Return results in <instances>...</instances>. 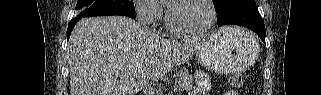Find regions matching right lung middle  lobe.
Masks as SVG:
<instances>
[{
	"instance_id": "obj_1",
	"label": "right lung middle lobe",
	"mask_w": 321,
	"mask_h": 95,
	"mask_svg": "<svg viewBox=\"0 0 321 95\" xmlns=\"http://www.w3.org/2000/svg\"><path fill=\"white\" fill-rule=\"evenodd\" d=\"M77 15L81 19L90 16L123 15L135 18L134 3L131 0H78Z\"/></svg>"
}]
</instances>
